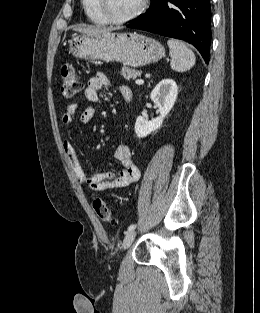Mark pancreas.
<instances>
[{
  "instance_id": "obj_1",
  "label": "pancreas",
  "mask_w": 260,
  "mask_h": 313,
  "mask_svg": "<svg viewBox=\"0 0 260 313\" xmlns=\"http://www.w3.org/2000/svg\"><path fill=\"white\" fill-rule=\"evenodd\" d=\"M121 75L123 76L124 79L129 80V79H135L136 77L141 75V71H138L136 69H132L129 67H123L121 70Z\"/></svg>"
}]
</instances>
